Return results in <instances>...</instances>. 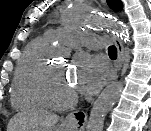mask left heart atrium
<instances>
[{"label": "left heart atrium", "mask_w": 151, "mask_h": 131, "mask_svg": "<svg viewBox=\"0 0 151 131\" xmlns=\"http://www.w3.org/2000/svg\"><path fill=\"white\" fill-rule=\"evenodd\" d=\"M75 70L71 74L75 91L90 95L102 84L105 71L96 59L87 54H79L73 62Z\"/></svg>", "instance_id": "1"}]
</instances>
